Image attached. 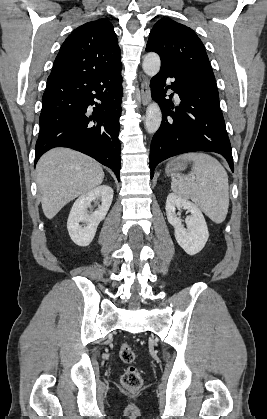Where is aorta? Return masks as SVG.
I'll return each instance as SVG.
<instances>
[{
  "label": "aorta",
  "instance_id": "762f6f07",
  "mask_svg": "<svg viewBox=\"0 0 267 419\" xmlns=\"http://www.w3.org/2000/svg\"><path fill=\"white\" fill-rule=\"evenodd\" d=\"M161 67V61L158 54L148 53L143 60L142 68L145 74L150 77L155 76ZM162 113L159 105L155 102L148 105L146 110L145 128L149 134H154L160 127Z\"/></svg>",
  "mask_w": 267,
  "mask_h": 419
}]
</instances>
